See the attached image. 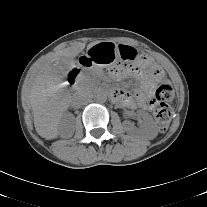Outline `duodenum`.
Listing matches in <instances>:
<instances>
[{
	"instance_id": "obj_1",
	"label": "duodenum",
	"mask_w": 207,
	"mask_h": 207,
	"mask_svg": "<svg viewBox=\"0 0 207 207\" xmlns=\"http://www.w3.org/2000/svg\"><path fill=\"white\" fill-rule=\"evenodd\" d=\"M90 65H91V62L89 60H86L82 62L79 67L71 70L68 73L67 80L70 83L72 90L76 94L78 93V78H79L80 72L83 68L89 67ZM101 92L108 94L114 99L116 98V93L114 91H111L109 89H101Z\"/></svg>"
}]
</instances>
